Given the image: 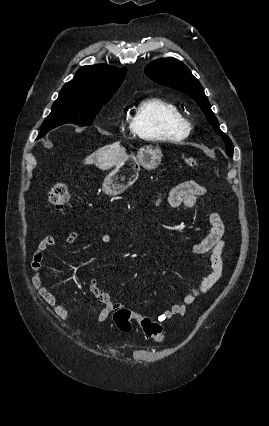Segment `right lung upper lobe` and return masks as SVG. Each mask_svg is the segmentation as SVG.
Masks as SVG:
<instances>
[{"label":"right lung upper lobe","mask_w":269,"mask_h":426,"mask_svg":"<svg viewBox=\"0 0 269 426\" xmlns=\"http://www.w3.org/2000/svg\"><path fill=\"white\" fill-rule=\"evenodd\" d=\"M127 69L105 64L84 66L67 82L60 93L81 94L89 97H112L123 82Z\"/></svg>","instance_id":"cb5924a9"}]
</instances>
